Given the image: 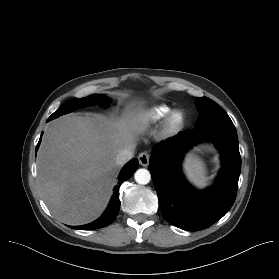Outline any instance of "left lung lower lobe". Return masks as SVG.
I'll return each mask as SVG.
<instances>
[{
	"label": "left lung lower lobe",
	"instance_id": "0a47b994",
	"mask_svg": "<svg viewBox=\"0 0 279 279\" xmlns=\"http://www.w3.org/2000/svg\"><path fill=\"white\" fill-rule=\"evenodd\" d=\"M202 140L213 141L222 158L216 184L203 192L187 184L180 168L184 152ZM240 169L241 157L233 123H214L179 133L155 146L149 164L164 219L187 231L208 228L232 207Z\"/></svg>",
	"mask_w": 279,
	"mask_h": 279
}]
</instances>
